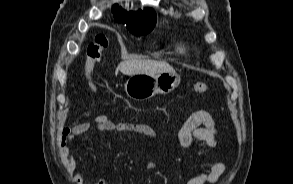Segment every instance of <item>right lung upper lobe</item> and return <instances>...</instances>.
Here are the masks:
<instances>
[{"mask_svg": "<svg viewBox=\"0 0 293 184\" xmlns=\"http://www.w3.org/2000/svg\"><path fill=\"white\" fill-rule=\"evenodd\" d=\"M112 12L114 13V18L119 21L127 24V26L132 24L152 26L156 23V15L152 9H145L144 11L133 12L130 11L127 13L118 4H115L112 7Z\"/></svg>", "mask_w": 293, "mask_h": 184, "instance_id": "obj_1", "label": "right lung upper lobe"}]
</instances>
